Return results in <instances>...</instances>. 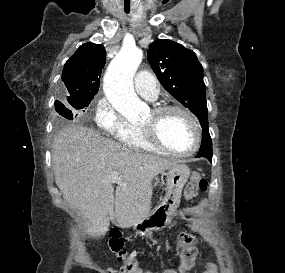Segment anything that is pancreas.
I'll list each match as a JSON object with an SVG mask.
<instances>
[{"label":"pancreas","instance_id":"pancreas-1","mask_svg":"<svg viewBox=\"0 0 285 273\" xmlns=\"http://www.w3.org/2000/svg\"><path fill=\"white\" fill-rule=\"evenodd\" d=\"M158 183L156 182L154 185L156 186Z\"/></svg>","mask_w":285,"mask_h":273}]
</instances>
